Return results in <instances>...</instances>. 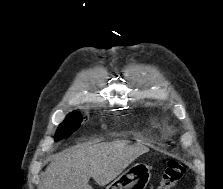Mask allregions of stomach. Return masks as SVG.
<instances>
[{
	"label": "stomach",
	"mask_w": 223,
	"mask_h": 189,
	"mask_svg": "<svg viewBox=\"0 0 223 189\" xmlns=\"http://www.w3.org/2000/svg\"><path fill=\"white\" fill-rule=\"evenodd\" d=\"M150 178V167L138 163L119 175L106 189H145Z\"/></svg>",
	"instance_id": "1"
}]
</instances>
